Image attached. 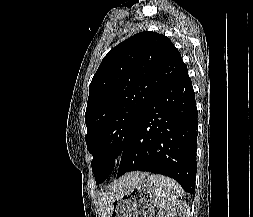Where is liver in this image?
I'll list each match as a JSON object with an SVG mask.
<instances>
[{"instance_id":"6515ba94","label":"liver","mask_w":253,"mask_h":217,"mask_svg":"<svg viewBox=\"0 0 253 217\" xmlns=\"http://www.w3.org/2000/svg\"><path fill=\"white\" fill-rule=\"evenodd\" d=\"M146 176V173L131 172L101 190L98 197L101 217H109L112 203Z\"/></svg>"}]
</instances>
